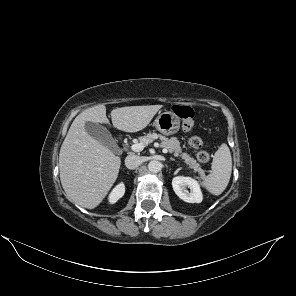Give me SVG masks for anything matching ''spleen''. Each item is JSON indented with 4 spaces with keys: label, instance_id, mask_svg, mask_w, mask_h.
Returning a JSON list of instances; mask_svg holds the SVG:
<instances>
[{
    "label": "spleen",
    "instance_id": "1",
    "mask_svg": "<svg viewBox=\"0 0 296 296\" xmlns=\"http://www.w3.org/2000/svg\"><path fill=\"white\" fill-rule=\"evenodd\" d=\"M211 173L202 185L213 195H220L227 187L232 173L231 153L226 144H222L215 152L211 164Z\"/></svg>",
    "mask_w": 296,
    "mask_h": 296
}]
</instances>
